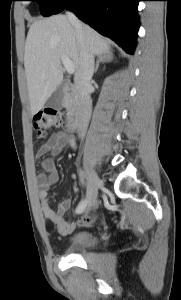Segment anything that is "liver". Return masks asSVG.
Instances as JSON below:
<instances>
[{
	"label": "liver",
	"instance_id": "obj_1",
	"mask_svg": "<svg viewBox=\"0 0 181 300\" xmlns=\"http://www.w3.org/2000/svg\"><path fill=\"white\" fill-rule=\"evenodd\" d=\"M85 43L93 55L111 53L109 42L91 27L81 24ZM81 46L74 26L64 15H54L34 22L28 31L24 66L31 113L35 115L63 80L61 57L69 58L75 67V78L81 64Z\"/></svg>",
	"mask_w": 181,
	"mask_h": 300
}]
</instances>
